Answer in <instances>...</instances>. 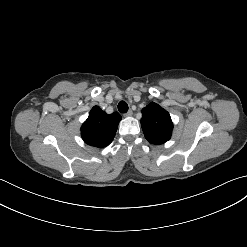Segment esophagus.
<instances>
[{
    "label": "esophagus",
    "mask_w": 247,
    "mask_h": 247,
    "mask_svg": "<svg viewBox=\"0 0 247 247\" xmlns=\"http://www.w3.org/2000/svg\"><path fill=\"white\" fill-rule=\"evenodd\" d=\"M132 114H133L132 110H129L128 112L124 114V117H130L132 116Z\"/></svg>",
    "instance_id": "esophagus-1"
}]
</instances>
